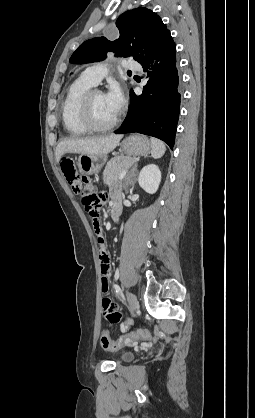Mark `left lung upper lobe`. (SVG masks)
<instances>
[{"instance_id":"obj_1","label":"left lung upper lobe","mask_w":255,"mask_h":418,"mask_svg":"<svg viewBox=\"0 0 255 418\" xmlns=\"http://www.w3.org/2000/svg\"><path fill=\"white\" fill-rule=\"evenodd\" d=\"M116 26L120 34L118 39L111 41L97 37L87 40L72 54L70 62L83 64L101 61L111 51L115 56H133L141 64L158 53L171 38L161 18L144 7L123 13L117 19Z\"/></svg>"}]
</instances>
